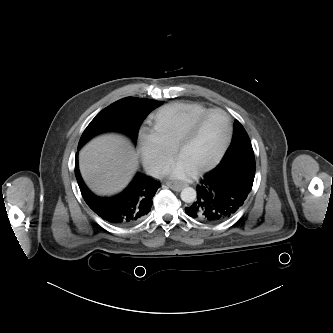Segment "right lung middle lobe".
<instances>
[{
	"label": "right lung middle lobe",
	"mask_w": 333,
	"mask_h": 333,
	"mask_svg": "<svg viewBox=\"0 0 333 333\" xmlns=\"http://www.w3.org/2000/svg\"><path fill=\"white\" fill-rule=\"evenodd\" d=\"M163 102L127 97L99 112L83 132L78 149L102 132L115 130L127 134L136 143L139 127L147 115Z\"/></svg>",
	"instance_id": "right-lung-middle-lobe-1"
}]
</instances>
